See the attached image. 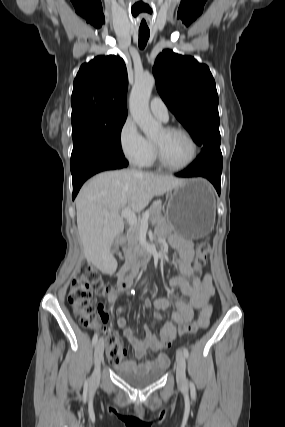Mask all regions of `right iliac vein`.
<instances>
[{"mask_svg":"<svg viewBox=\"0 0 285 427\" xmlns=\"http://www.w3.org/2000/svg\"><path fill=\"white\" fill-rule=\"evenodd\" d=\"M103 352H104V341L103 339H100L96 346L94 351V363H95V369L92 376V384L96 383L100 378V366L101 361L103 360Z\"/></svg>","mask_w":285,"mask_h":427,"instance_id":"right-iliac-vein-1","label":"right iliac vein"}]
</instances>
